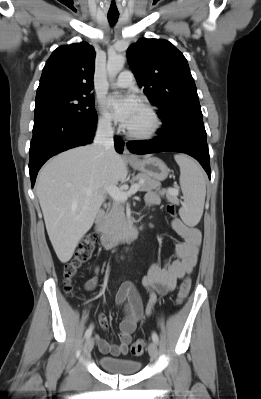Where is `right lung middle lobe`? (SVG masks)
I'll return each mask as SVG.
<instances>
[{"mask_svg":"<svg viewBox=\"0 0 261 399\" xmlns=\"http://www.w3.org/2000/svg\"><path fill=\"white\" fill-rule=\"evenodd\" d=\"M35 118L47 115H65L83 123H93L96 111L93 96L81 94H55L35 99Z\"/></svg>","mask_w":261,"mask_h":399,"instance_id":"right-lung-middle-lobe-1","label":"right lung middle lobe"}]
</instances>
